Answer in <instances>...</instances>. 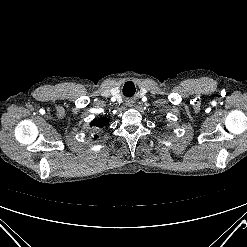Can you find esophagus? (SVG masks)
<instances>
[{
	"instance_id": "obj_1",
	"label": "esophagus",
	"mask_w": 247,
	"mask_h": 247,
	"mask_svg": "<svg viewBox=\"0 0 247 247\" xmlns=\"http://www.w3.org/2000/svg\"><path fill=\"white\" fill-rule=\"evenodd\" d=\"M127 105H128V106H130V105H131V103H130V102H128V103H127Z\"/></svg>"
}]
</instances>
